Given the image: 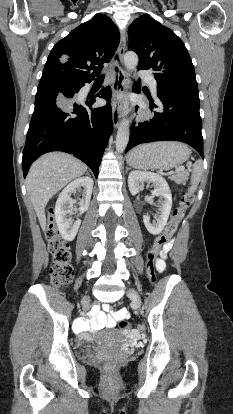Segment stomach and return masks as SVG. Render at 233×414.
<instances>
[{
  "label": "stomach",
  "mask_w": 233,
  "mask_h": 414,
  "mask_svg": "<svg viewBox=\"0 0 233 414\" xmlns=\"http://www.w3.org/2000/svg\"><path fill=\"white\" fill-rule=\"evenodd\" d=\"M190 156L188 147L179 142H157L137 147L127 157L135 168L169 170L184 163Z\"/></svg>",
  "instance_id": "1"
}]
</instances>
